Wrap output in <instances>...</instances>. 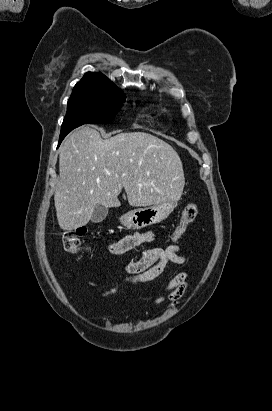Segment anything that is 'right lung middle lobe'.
Returning a JSON list of instances; mask_svg holds the SVG:
<instances>
[{
    "mask_svg": "<svg viewBox=\"0 0 272 411\" xmlns=\"http://www.w3.org/2000/svg\"><path fill=\"white\" fill-rule=\"evenodd\" d=\"M125 99V94L114 88L71 94L60 137L83 124L109 123Z\"/></svg>",
    "mask_w": 272,
    "mask_h": 411,
    "instance_id": "obj_1",
    "label": "right lung middle lobe"
}]
</instances>
